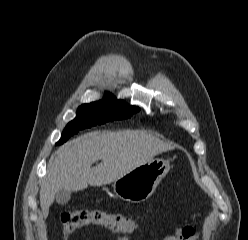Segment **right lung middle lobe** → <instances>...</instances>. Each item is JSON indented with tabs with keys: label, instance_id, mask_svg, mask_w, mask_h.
I'll list each match as a JSON object with an SVG mask.
<instances>
[{
	"label": "right lung middle lobe",
	"instance_id": "dd1d6c3e",
	"mask_svg": "<svg viewBox=\"0 0 248 240\" xmlns=\"http://www.w3.org/2000/svg\"><path fill=\"white\" fill-rule=\"evenodd\" d=\"M138 110V107L129 106L112 95L97 102L83 104L78 108L76 118L65 127L57 144L64 143L69 137L77 134L79 130L101 125L108 121L129 118Z\"/></svg>",
	"mask_w": 248,
	"mask_h": 240
}]
</instances>
